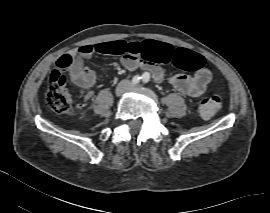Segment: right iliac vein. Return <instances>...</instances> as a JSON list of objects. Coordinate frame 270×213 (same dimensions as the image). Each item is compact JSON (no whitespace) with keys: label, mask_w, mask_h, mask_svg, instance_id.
Here are the masks:
<instances>
[{"label":"right iliac vein","mask_w":270,"mask_h":213,"mask_svg":"<svg viewBox=\"0 0 270 213\" xmlns=\"http://www.w3.org/2000/svg\"><path fill=\"white\" fill-rule=\"evenodd\" d=\"M131 84L128 81H122L116 88L115 94L116 96H121L122 94H124L129 88H130Z\"/></svg>","instance_id":"obj_1"}]
</instances>
